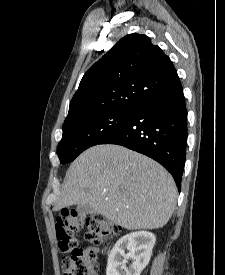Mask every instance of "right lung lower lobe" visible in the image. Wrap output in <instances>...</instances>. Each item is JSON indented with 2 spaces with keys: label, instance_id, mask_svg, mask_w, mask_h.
Segmentation results:
<instances>
[{
  "label": "right lung lower lobe",
  "instance_id": "98d812e1",
  "mask_svg": "<svg viewBox=\"0 0 225 275\" xmlns=\"http://www.w3.org/2000/svg\"><path fill=\"white\" fill-rule=\"evenodd\" d=\"M118 144L151 157L173 176L180 191L186 158L187 110L182 85L153 95L99 144Z\"/></svg>",
  "mask_w": 225,
  "mask_h": 275
}]
</instances>
